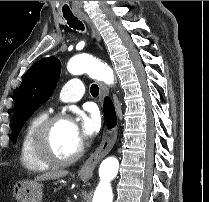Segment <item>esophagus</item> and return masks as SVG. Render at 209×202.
<instances>
[{"label": "esophagus", "instance_id": "esophagus-1", "mask_svg": "<svg viewBox=\"0 0 209 202\" xmlns=\"http://www.w3.org/2000/svg\"><path fill=\"white\" fill-rule=\"evenodd\" d=\"M79 18L83 19L90 26L93 36L96 39L97 45L100 47V36L97 32L94 24L88 18L84 12L78 13ZM100 96L103 98L108 94V88L99 82ZM117 139V128L115 127L111 132L104 130L102 135V141L96 150L91 154V156L85 161L82 167L79 169V176L82 180L86 181L90 179L93 175V171L97 164L112 150Z\"/></svg>", "mask_w": 209, "mask_h": 202}]
</instances>
